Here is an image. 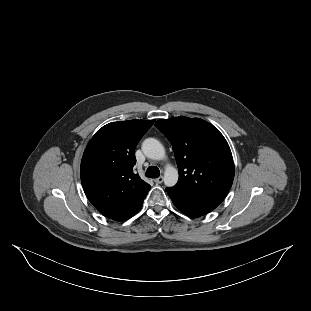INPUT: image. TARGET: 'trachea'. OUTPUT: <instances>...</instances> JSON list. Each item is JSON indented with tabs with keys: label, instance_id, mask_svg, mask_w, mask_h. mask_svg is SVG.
Returning a JSON list of instances; mask_svg holds the SVG:
<instances>
[{
	"label": "trachea",
	"instance_id": "obj_1",
	"mask_svg": "<svg viewBox=\"0 0 311 311\" xmlns=\"http://www.w3.org/2000/svg\"><path fill=\"white\" fill-rule=\"evenodd\" d=\"M160 176L159 168L156 166H149L146 170V177L148 178H158Z\"/></svg>",
	"mask_w": 311,
	"mask_h": 311
}]
</instances>
